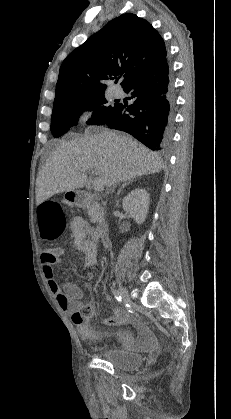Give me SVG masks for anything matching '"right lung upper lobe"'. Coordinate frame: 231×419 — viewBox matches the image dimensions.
Returning a JSON list of instances; mask_svg holds the SVG:
<instances>
[{
	"mask_svg": "<svg viewBox=\"0 0 231 419\" xmlns=\"http://www.w3.org/2000/svg\"><path fill=\"white\" fill-rule=\"evenodd\" d=\"M166 55L162 37L148 21L132 13L123 14L66 57L54 103L104 91V82L119 75H124L121 86L125 88Z\"/></svg>",
	"mask_w": 231,
	"mask_h": 419,
	"instance_id": "cb5924a9",
	"label": "right lung upper lobe"
}]
</instances>
